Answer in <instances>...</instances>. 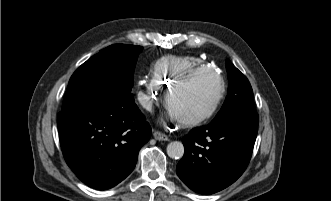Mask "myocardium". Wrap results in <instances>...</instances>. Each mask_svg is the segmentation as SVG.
Returning a JSON list of instances; mask_svg holds the SVG:
<instances>
[{"label": "myocardium", "instance_id": "1", "mask_svg": "<svg viewBox=\"0 0 331 201\" xmlns=\"http://www.w3.org/2000/svg\"><path fill=\"white\" fill-rule=\"evenodd\" d=\"M203 73H212L213 75L216 76V78L219 81V91H218L217 95L215 96V98L213 99V101L210 103V105L206 109L201 111L200 113H198L194 116H191V117H186V118L178 117L180 122L185 125H193V124L200 123L215 113V111L219 107V105L225 95V91H226V84H225V80H224L223 76L221 74H219L218 72H216L215 70H213L209 67L203 66L201 68L190 71L182 79V81L179 83L178 86H173V87L169 88L167 91L166 103H167L168 107L171 108V101H172V97H173L175 91L178 90L179 87L188 86L196 77H198L199 75H201Z\"/></svg>", "mask_w": 331, "mask_h": 201}]
</instances>
